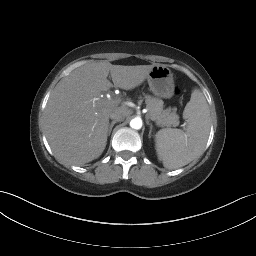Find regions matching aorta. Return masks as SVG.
<instances>
[{
  "instance_id": "obj_1",
  "label": "aorta",
  "mask_w": 256,
  "mask_h": 256,
  "mask_svg": "<svg viewBox=\"0 0 256 256\" xmlns=\"http://www.w3.org/2000/svg\"><path fill=\"white\" fill-rule=\"evenodd\" d=\"M130 127L136 130L141 129L142 120L140 118H134L130 121Z\"/></svg>"
}]
</instances>
